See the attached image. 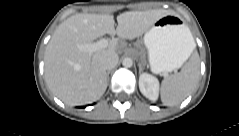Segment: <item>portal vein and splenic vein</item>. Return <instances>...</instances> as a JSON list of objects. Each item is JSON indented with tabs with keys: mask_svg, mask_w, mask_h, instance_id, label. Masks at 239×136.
Masks as SVG:
<instances>
[{
	"mask_svg": "<svg viewBox=\"0 0 239 136\" xmlns=\"http://www.w3.org/2000/svg\"><path fill=\"white\" fill-rule=\"evenodd\" d=\"M108 44H109V42L107 39H101L94 43H87V44L79 45L78 47L80 50L87 51L91 54L94 51L106 48L108 46Z\"/></svg>",
	"mask_w": 239,
	"mask_h": 136,
	"instance_id": "18ae733b",
	"label": "portal vein and splenic vein"
}]
</instances>
